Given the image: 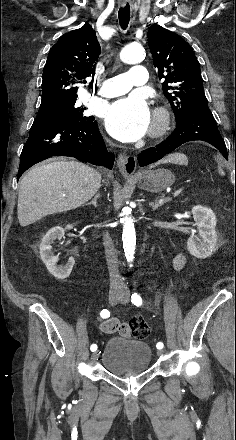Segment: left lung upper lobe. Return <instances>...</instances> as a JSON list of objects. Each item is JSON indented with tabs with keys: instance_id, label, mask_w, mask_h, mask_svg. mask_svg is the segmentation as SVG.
<instances>
[{
	"instance_id": "left-lung-upper-lobe-1",
	"label": "left lung upper lobe",
	"mask_w": 236,
	"mask_h": 440,
	"mask_svg": "<svg viewBox=\"0 0 236 440\" xmlns=\"http://www.w3.org/2000/svg\"><path fill=\"white\" fill-rule=\"evenodd\" d=\"M147 36L153 64L178 124L192 108L208 105L198 60L183 38L157 24L150 26Z\"/></svg>"
}]
</instances>
